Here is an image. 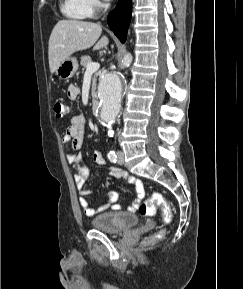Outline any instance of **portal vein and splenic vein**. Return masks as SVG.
Masks as SVG:
<instances>
[{
  "mask_svg": "<svg viewBox=\"0 0 243 289\" xmlns=\"http://www.w3.org/2000/svg\"><path fill=\"white\" fill-rule=\"evenodd\" d=\"M100 68V64L98 62H92L87 65L86 73H94Z\"/></svg>",
  "mask_w": 243,
  "mask_h": 289,
  "instance_id": "obj_1",
  "label": "portal vein and splenic vein"
}]
</instances>
